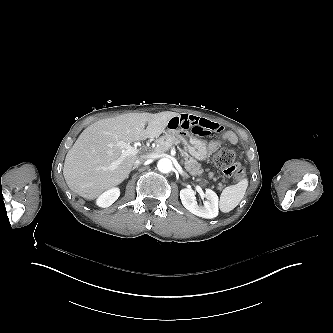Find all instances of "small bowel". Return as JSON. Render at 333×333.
Listing matches in <instances>:
<instances>
[{
    "label": "small bowel",
    "instance_id": "c3829d8e",
    "mask_svg": "<svg viewBox=\"0 0 333 333\" xmlns=\"http://www.w3.org/2000/svg\"><path fill=\"white\" fill-rule=\"evenodd\" d=\"M170 129H176L181 131H191L195 134L218 136L224 129L222 124L213 123L203 118H199L194 115L180 114L170 119L168 122ZM224 141L235 145L238 142L237 136L233 132H225L222 135ZM219 148V141L211 142L208 145V150L213 152Z\"/></svg>",
    "mask_w": 333,
    "mask_h": 333
}]
</instances>
